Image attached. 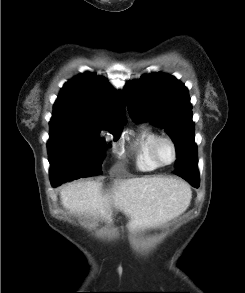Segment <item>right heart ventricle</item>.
<instances>
[{"label": "right heart ventricle", "instance_id": "1", "mask_svg": "<svg viewBox=\"0 0 245 293\" xmlns=\"http://www.w3.org/2000/svg\"><path fill=\"white\" fill-rule=\"evenodd\" d=\"M158 135L150 127L143 126L140 128L134 142V164L139 171L150 172L160 167L152 155V146Z\"/></svg>", "mask_w": 245, "mask_h": 293}]
</instances>
